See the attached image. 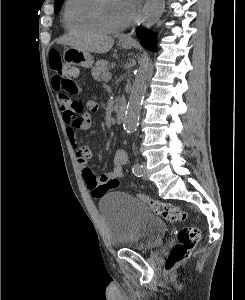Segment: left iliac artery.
Masks as SVG:
<instances>
[{
  "label": "left iliac artery",
  "instance_id": "1",
  "mask_svg": "<svg viewBox=\"0 0 245 300\" xmlns=\"http://www.w3.org/2000/svg\"><path fill=\"white\" fill-rule=\"evenodd\" d=\"M141 168H142V166L138 163L133 165L132 172L135 174V176H137V177L141 176Z\"/></svg>",
  "mask_w": 245,
  "mask_h": 300
}]
</instances>
